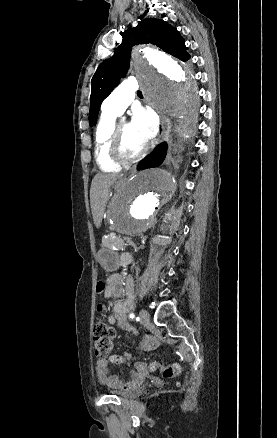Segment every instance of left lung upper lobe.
<instances>
[{
	"label": "left lung upper lobe",
	"mask_w": 277,
	"mask_h": 438,
	"mask_svg": "<svg viewBox=\"0 0 277 438\" xmlns=\"http://www.w3.org/2000/svg\"><path fill=\"white\" fill-rule=\"evenodd\" d=\"M122 37V43L114 55L98 66L91 80L90 126L96 123L102 101L118 85L120 78L125 76L134 45L152 43L182 61L190 58L185 41L177 29L160 19H142L136 27L122 33Z\"/></svg>",
	"instance_id": "obj_1"
}]
</instances>
